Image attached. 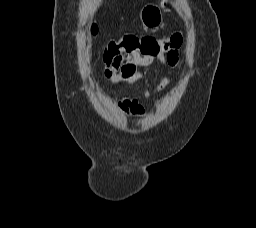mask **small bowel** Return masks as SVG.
<instances>
[{
    "mask_svg": "<svg viewBox=\"0 0 256 228\" xmlns=\"http://www.w3.org/2000/svg\"><path fill=\"white\" fill-rule=\"evenodd\" d=\"M155 60L174 66L178 63V49L163 47L155 56L136 51L131 52L123 55L116 64L105 66L104 73L111 83L133 84L144 79V74L138 68L146 67ZM168 84L169 79L164 78L154 90L145 87L143 95L145 98H149L153 93L163 90ZM119 106L123 112L133 116H143L145 112L143 105L136 98H123Z\"/></svg>",
    "mask_w": 256,
    "mask_h": 228,
    "instance_id": "c3829d8e",
    "label": "small bowel"
}]
</instances>
